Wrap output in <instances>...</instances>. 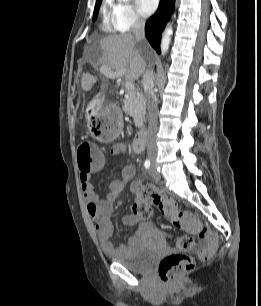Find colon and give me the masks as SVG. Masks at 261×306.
I'll return each instance as SVG.
<instances>
[{
	"instance_id": "colon-1",
	"label": "colon",
	"mask_w": 261,
	"mask_h": 306,
	"mask_svg": "<svg viewBox=\"0 0 261 306\" xmlns=\"http://www.w3.org/2000/svg\"><path fill=\"white\" fill-rule=\"evenodd\" d=\"M114 111L112 120L107 123L97 122L92 126L93 135L102 141L113 140L119 132V113L116 107H110ZM78 166L81 171L90 170L105 160L104 154L92 147L88 141L81 142L77 146ZM159 206L161 212L171 223L186 232L176 240L177 252L164 257L158 265V274L162 281L173 282L180 275L190 272L195 267L194 258L186 252L195 247V236L207 241V244L200 250L199 257L207 259L215 250L218 244L217 235L202 226L199 219L187 211L179 210L174 201L159 192L153 185H144L134 203L133 210L137 217L146 220L153 215V207Z\"/></svg>"
}]
</instances>
